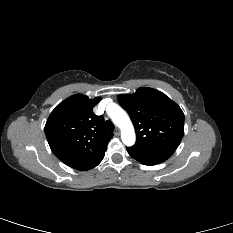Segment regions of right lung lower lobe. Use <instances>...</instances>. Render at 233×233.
Segmentation results:
<instances>
[{"label":"right lung lower lobe","mask_w":233,"mask_h":233,"mask_svg":"<svg viewBox=\"0 0 233 233\" xmlns=\"http://www.w3.org/2000/svg\"><path fill=\"white\" fill-rule=\"evenodd\" d=\"M104 157V156H103ZM103 157L93 166V167H95L96 165H98L101 161H102V159H103ZM92 167V168H93ZM91 169V168H90Z\"/></svg>","instance_id":"obj_1"}]
</instances>
